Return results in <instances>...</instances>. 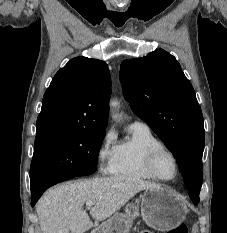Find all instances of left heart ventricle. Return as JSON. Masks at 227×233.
Segmentation results:
<instances>
[{
  "mask_svg": "<svg viewBox=\"0 0 227 233\" xmlns=\"http://www.w3.org/2000/svg\"><path fill=\"white\" fill-rule=\"evenodd\" d=\"M156 166L158 173L164 178H171L175 173L174 162L167 154L159 156Z\"/></svg>",
  "mask_w": 227,
  "mask_h": 233,
  "instance_id": "1",
  "label": "left heart ventricle"
}]
</instances>
